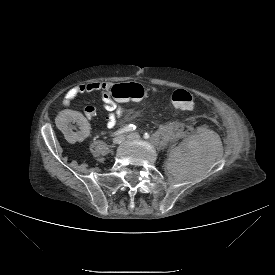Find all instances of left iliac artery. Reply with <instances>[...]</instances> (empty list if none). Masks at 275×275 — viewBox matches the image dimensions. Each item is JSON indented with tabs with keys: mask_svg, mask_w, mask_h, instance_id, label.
<instances>
[{
	"mask_svg": "<svg viewBox=\"0 0 275 275\" xmlns=\"http://www.w3.org/2000/svg\"><path fill=\"white\" fill-rule=\"evenodd\" d=\"M149 137H150V136H149L148 133H145V134H144V138H145V139H148Z\"/></svg>",
	"mask_w": 275,
	"mask_h": 275,
	"instance_id": "obj_1",
	"label": "left iliac artery"
}]
</instances>
